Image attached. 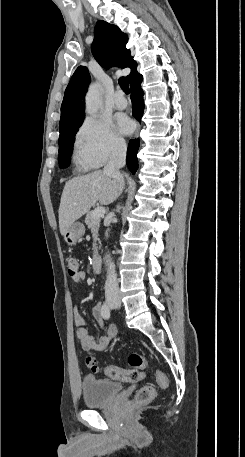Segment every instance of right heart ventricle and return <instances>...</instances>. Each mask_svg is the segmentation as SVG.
<instances>
[{
  "mask_svg": "<svg viewBox=\"0 0 245 457\" xmlns=\"http://www.w3.org/2000/svg\"><path fill=\"white\" fill-rule=\"evenodd\" d=\"M76 153L77 156L87 165V166H94V162L90 159V157L85 153L83 148L79 145H76Z\"/></svg>",
  "mask_w": 245,
  "mask_h": 457,
  "instance_id": "1",
  "label": "right heart ventricle"
}]
</instances>
